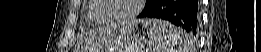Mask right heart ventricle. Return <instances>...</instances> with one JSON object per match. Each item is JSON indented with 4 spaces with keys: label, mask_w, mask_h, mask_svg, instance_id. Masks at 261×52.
I'll list each match as a JSON object with an SVG mask.
<instances>
[{
    "label": "right heart ventricle",
    "mask_w": 261,
    "mask_h": 52,
    "mask_svg": "<svg viewBox=\"0 0 261 52\" xmlns=\"http://www.w3.org/2000/svg\"><path fill=\"white\" fill-rule=\"evenodd\" d=\"M101 2L99 0H90L88 2V6L86 8V19L92 24H106L104 21L98 16V12L101 8Z\"/></svg>",
    "instance_id": "1"
}]
</instances>
